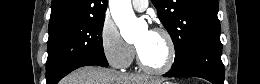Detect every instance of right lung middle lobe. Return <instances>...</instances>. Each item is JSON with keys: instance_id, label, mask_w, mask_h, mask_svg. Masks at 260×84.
Masks as SVG:
<instances>
[{"instance_id": "obj_1", "label": "right lung middle lobe", "mask_w": 260, "mask_h": 84, "mask_svg": "<svg viewBox=\"0 0 260 84\" xmlns=\"http://www.w3.org/2000/svg\"><path fill=\"white\" fill-rule=\"evenodd\" d=\"M105 15L85 18L49 30L46 83L56 84L64 74L82 64L107 67L102 44Z\"/></svg>"}]
</instances>
